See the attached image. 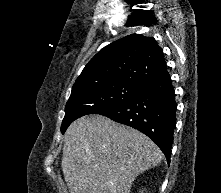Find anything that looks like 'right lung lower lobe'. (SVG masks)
<instances>
[{
    "label": "right lung lower lobe",
    "mask_w": 221,
    "mask_h": 193,
    "mask_svg": "<svg viewBox=\"0 0 221 193\" xmlns=\"http://www.w3.org/2000/svg\"><path fill=\"white\" fill-rule=\"evenodd\" d=\"M176 109L174 88L167 75L145 82L131 99L98 114L146 134L165 154L169 164Z\"/></svg>",
    "instance_id": "98d812e1"
}]
</instances>
